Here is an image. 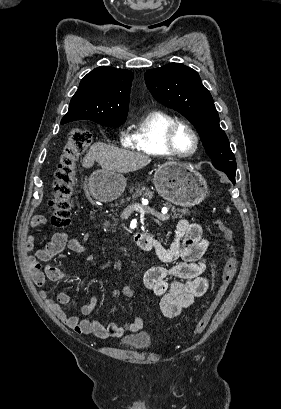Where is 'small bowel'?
Listing matches in <instances>:
<instances>
[{
	"label": "small bowel",
	"instance_id": "small-bowel-1",
	"mask_svg": "<svg viewBox=\"0 0 281 409\" xmlns=\"http://www.w3.org/2000/svg\"><path fill=\"white\" fill-rule=\"evenodd\" d=\"M47 215H38L32 219L28 226V235H41L43 229L41 224L48 223ZM34 237L30 236L25 248L32 251ZM66 248L76 252L84 253L86 247L78 240L70 238L65 232L55 233L51 241L42 249L36 250L29 256L31 273L35 284L43 288L47 281H64L70 275L58 267L47 265L44 269L41 262H47L54 256L60 254ZM208 248V240L203 235L202 228L196 223L182 219L178 222L175 236L168 246L151 238V250H154L158 258L168 263L167 266H154L149 268L144 276L145 287L157 297L161 298L160 310L167 318L178 316L183 308L190 306L195 298L204 295L209 286V280L204 275V255ZM174 279L169 281V279ZM40 296L52 308L57 317L70 329L79 334H93L99 338L123 337L129 333H136L144 328V321L136 318L132 322L119 326L115 323L102 325L97 321L80 319L69 315L63 310L71 301V295L67 292H59L49 296V292L41 289ZM133 289L130 286L115 289V299L131 298ZM98 299L93 295L90 300L81 306L82 315L90 314L97 306Z\"/></svg>",
	"mask_w": 281,
	"mask_h": 409
}]
</instances>
